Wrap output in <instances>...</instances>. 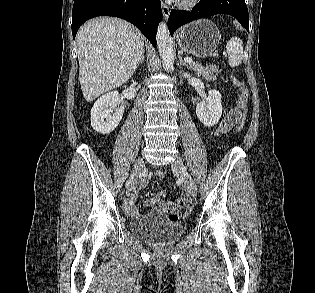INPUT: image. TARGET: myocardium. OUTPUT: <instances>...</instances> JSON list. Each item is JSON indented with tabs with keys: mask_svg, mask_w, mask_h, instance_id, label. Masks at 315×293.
I'll use <instances>...</instances> for the list:
<instances>
[{
	"mask_svg": "<svg viewBox=\"0 0 315 293\" xmlns=\"http://www.w3.org/2000/svg\"><path fill=\"white\" fill-rule=\"evenodd\" d=\"M200 0H178V5L183 9H191L195 7Z\"/></svg>",
	"mask_w": 315,
	"mask_h": 293,
	"instance_id": "myocardium-1",
	"label": "myocardium"
}]
</instances>
